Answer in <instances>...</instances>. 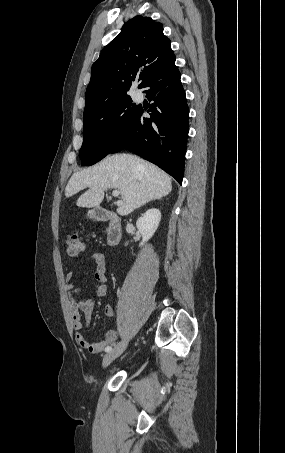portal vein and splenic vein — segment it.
Here are the masks:
<instances>
[{
	"mask_svg": "<svg viewBox=\"0 0 285 453\" xmlns=\"http://www.w3.org/2000/svg\"><path fill=\"white\" fill-rule=\"evenodd\" d=\"M119 193H120V192H119L118 190H113V191H112V195H113L114 197L119 196ZM117 204L119 205V204H121V202H118Z\"/></svg>",
	"mask_w": 285,
	"mask_h": 453,
	"instance_id": "1",
	"label": "portal vein and splenic vein"
}]
</instances>
